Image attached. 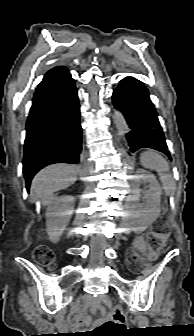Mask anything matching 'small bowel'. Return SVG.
Masks as SVG:
<instances>
[{"label":"small bowel","mask_w":194,"mask_h":336,"mask_svg":"<svg viewBox=\"0 0 194 336\" xmlns=\"http://www.w3.org/2000/svg\"><path fill=\"white\" fill-rule=\"evenodd\" d=\"M138 245L142 246V241H139ZM71 320H72V323L74 325H76V326L82 325L84 323V321H85V319L83 317H81V316H75Z\"/></svg>","instance_id":"c3829d8e"}]
</instances>
